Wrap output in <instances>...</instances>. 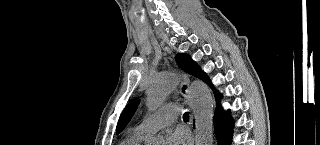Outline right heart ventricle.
Wrapping results in <instances>:
<instances>
[{"mask_svg":"<svg viewBox=\"0 0 320 145\" xmlns=\"http://www.w3.org/2000/svg\"><path fill=\"white\" fill-rule=\"evenodd\" d=\"M146 138L147 136L134 130L126 136L121 145H142Z\"/></svg>","mask_w":320,"mask_h":145,"instance_id":"1","label":"right heart ventricle"}]
</instances>
